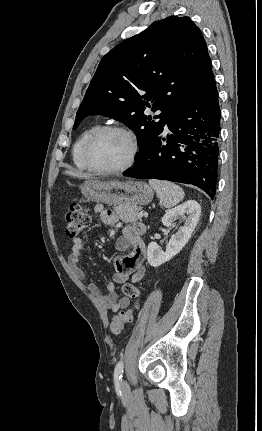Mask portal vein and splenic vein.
<instances>
[{
  "label": "portal vein and splenic vein",
  "instance_id": "obj_1",
  "mask_svg": "<svg viewBox=\"0 0 262 431\" xmlns=\"http://www.w3.org/2000/svg\"><path fill=\"white\" fill-rule=\"evenodd\" d=\"M144 216V214L142 213V212H140L138 215H137V217L138 218H142Z\"/></svg>",
  "mask_w": 262,
  "mask_h": 431
}]
</instances>
